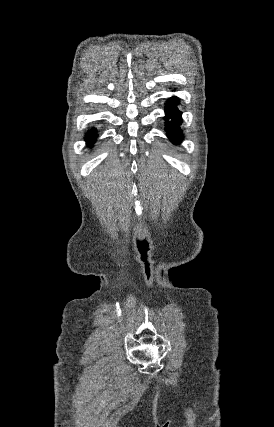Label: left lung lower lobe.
<instances>
[{
    "label": "left lung lower lobe",
    "instance_id": "obj_1",
    "mask_svg": "<svg viewBox=\"0 0 274 427\" xmlns=\"http://www.w3.org/2000/svg\"><path fill=\"white\" fill-rule=\"evenodd\" d=\"M178 99L176 97L171 98L166 105V118L172 119L166 123V131L168 137L172 141H180L182 139V130L179 128L181 123L180 111L177 109Z\"/></svg>",
    "mask_w": 274,
    "mask_h": 427
}]
</instances>
